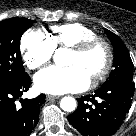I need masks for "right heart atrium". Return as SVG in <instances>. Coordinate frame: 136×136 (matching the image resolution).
<instances>
[{
	"label": "right heart atrium",
	"mask_w": 136,
	"mask_h": 136,
	"mask_svg": "<svg viewBox=\"0 0 136 136\" xmlns=\"http://www.w3.org/2000/svg\"><path fill=\"white\" fill-rule=\"evenodd\" d=\"M20 49L24 65L33 70L49 62L55 48L44 33L38 30H28L21 38Z\"/></svg>",
	"instance_id": "1"
}]
</instances>
